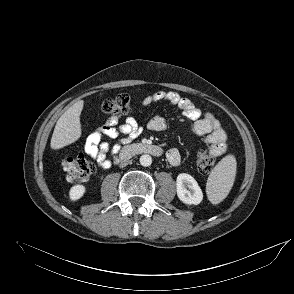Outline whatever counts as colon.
<instances>
[{"label": "colon", "instance_id": "obj_1", "mask_svg": "<svg viewBox=\"0 0 294 294\" xmlns=\"http://www.w3.org/2000/svg\"><path fill=\"white\" fill-rule=\"evenodd\" d=\"M132 107V99L126 93H120L114 97L106 99L101 109L104 113L111 116H120L127 114ZM215 164V156L209 148H202L197 155V168L200 173L208 174ZM62 167L67 174V180L72 183H78L86 180L94 172L93 163L82 155L65 156L62 160Z\"/></svg>", "mask_w": 294, "mask_h": 294}]
</instances>
